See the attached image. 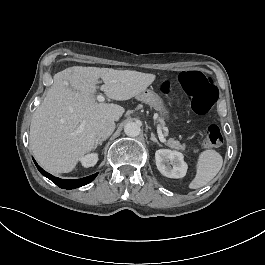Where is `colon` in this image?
Instances as JSON below:
<instances>
[{
  "mask_svg": "<svg viewBox=\"0 0 265 265\" xmlns=\"http://www.w3.org/2000/svg\"><path fill=\"white\" fill-rule=\"evenodd\" d=\"M181 87L191 103V109L200 116L206 115L219 97V90L211 81L209 74L200 68L188 70L182 77ZM161 92L164 94L171 92L169 81H165ZM178 94V91H173V100ZM205 141L212 148L223 147L224 139L216 123L211 121L205 123Z\"/></svg>",
  "mask_w": 265,
  "mask_h": 265,
  "instance_id": "1",
  "label": "colon"
}]
</instances>
